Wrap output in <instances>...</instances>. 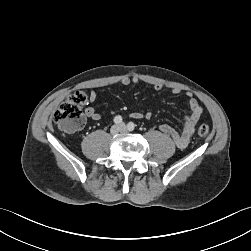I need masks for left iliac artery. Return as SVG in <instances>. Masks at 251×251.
Segmentation results:
<instances>
[{"mask_svg":"<svg viewBox=\"0 0 251 251\" xmlns=\"http://www.w3.org/2000/svg\"><path fill=\"white\" fill-rule=\"evenodd\" d=\"M127 128L129 131H133L135 129V124L133 122H129Z\"/></svg>","mask_w":251,"mask_h":251,"instance_id":"44dca946","label":"left iliac artery"}]
</instances>
